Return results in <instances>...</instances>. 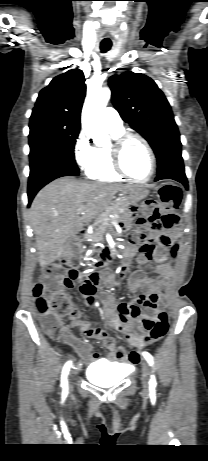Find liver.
Masks as SVG:
<instances>
[{
    "instance_id": "obj_1",
    "label": "liver",
    "mask_w": 208,
    "mask_h": 461,
    "mask_svg": "<svg viewBox=\"0 0 208 461\" xmlns=\"http://www.w3.org/2000/svg\"><path fill=\"white\" fill-rule=\"evenodd\" d=\"M130 189L64 177L40 190L30 213L40 266L59 259L67 240L82 230L84 222L99 218L117 192L125 194Z\"/></svg>"
}]
</instances>
